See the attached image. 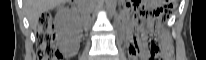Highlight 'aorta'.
<instances>
[{"label": "aorta", "mask_w": 206, "mask_h": 60, "mask_svg": "<svg viewBox=\"0 0 206 60\" xmlns=\"http://www.w3.org/2000/svg\"><path fill=\"white\" fill-rule=\"evenodd\" d=\"M117 0H106V7L110 14L115 12Z\"/></svg>", "instance_id": "obj_1"}]
</instances>
